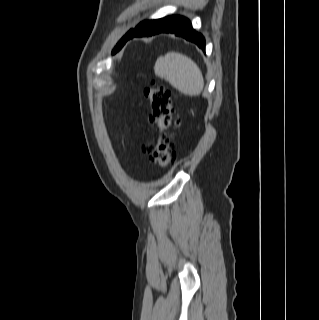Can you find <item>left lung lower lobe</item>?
Masks as SVG:
<instances>
[{
    "instance_id": "obj_1",
    "label": "left lung lower lobe",
    "mask_w": 319,
    "mask_h": 320,
    "mask_svg": "<svg viewBox=\"0 0 319 320\" xmlns=\"http://www.w3.org/2000/svg\"><path fill=\"white\" fill-rule=\"evenodd\" d=\"M162 32L174 33L176 36H181L186 40L196 43L202 50L205 51L204 37L192 28V25L188 19L181 16H168L162 19L144 21L137 25L135 29H132L128 32L123 45L133 37L151 36Z\"/></svg>"
}]
</instances>
